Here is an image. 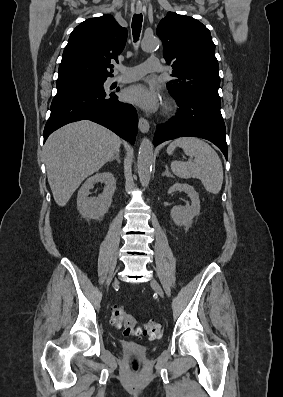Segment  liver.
<instances>
[{
    "instance_id": "obj_1",
    "label": "liver",
    "mask_w": 283,
    "mask_h": 397,
    "mask_svg": "<svg viewBox=\"0 0 283 397\" xmlns=\"http://www.w3.org/2000/svg\"><path fill=\"white\" fill-rule=\"evenodd\" d=\"M121 142L116 134L88 120L67 124L52 133L44 153L55 202L65 206L82 181L119 152Z\"/></svg>"
}]
</instances>
